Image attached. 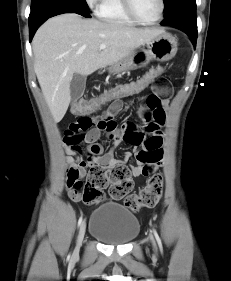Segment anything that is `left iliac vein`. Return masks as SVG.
Masks as SVG:
<instances>
[{
  "instance_id": "1",
  "label": "left iliac vein",
  "mask_w": 231,
  "mask_h": 281,
  "mask_svg": "<svg viewBox=\"0 0 231 281\" xmlns=\"http://www.w3.org/2000/svg\"><path fill=\"white\" fill-rule=\"evenodd\" d=\"M151 241H152V243H153V246L155 247V243H154V240H153V238L151 237Z\"/></svg>"
}]
</instances>
